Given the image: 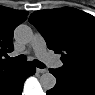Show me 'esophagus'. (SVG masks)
I'll list each match as a JSON object with an SVG mask.
<instances>
[{"label": "esophagus", "mask_w": 95, "mask_h": 95, "mask_svg": "<svg viewBox=\"0 0 95 95\" xmlns=\"http://www.w3.org/2000/svg\"><path fill=\"white\" fill-rule=\"evenodd\" d=\"M37 72L38 73H45V72H47V70L46 69L37 68Z\"/></svg>", "instance_id": "esophagus-1"}]
</instances>
